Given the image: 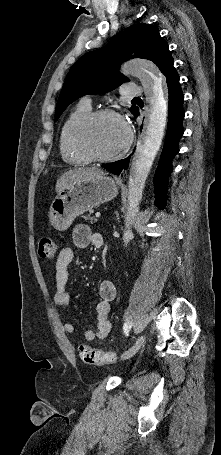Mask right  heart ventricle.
I'll use <instances>...</instances> for the list:
<instances>
[{
  "label": "right heart ventricle",
  "mask_w": 221,
  "mask_h": 455,
  "mask_svg": "<svg viewBox=\"0 0 221 455\" xmlns=\"http://www.w3.org/2000/svg\"><path fill=\"white\" fill-rule=\"evenodd\" d=\"M92 111L90 104L79 102L63 123L59 147L63 160L71 165H85L89 158L80 150L77 143V129L81 121Z\"/></svg>",
  "instance_id": "obj_1"
}]
</instances>
